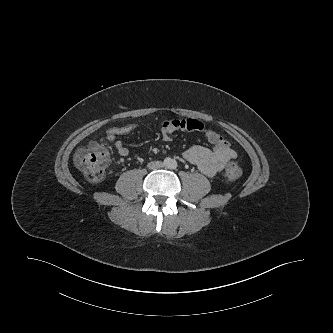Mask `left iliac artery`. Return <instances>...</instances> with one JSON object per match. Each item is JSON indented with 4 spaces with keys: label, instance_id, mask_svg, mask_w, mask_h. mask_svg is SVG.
I'll list each match as a JSON object with an SVG mask.
<instances>
[{
    "label": "left iliac artery",
    "instance_id": "obj_1",
    "mask_svg": "<svg viewBox=\"0 0 333 333\" xmlns=\"http://www.w3.org/2000/svg\"><path fill=\"white\" fill-rule=\"evenodd\" d=\"M171 167H172V168H176V167H177L176 162H173V163L171 164Z\"/></svg>",
    "mask_w": 333,
    "mask_h": 333
}]
</instances>
